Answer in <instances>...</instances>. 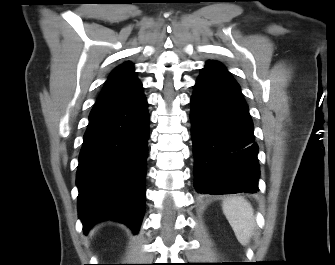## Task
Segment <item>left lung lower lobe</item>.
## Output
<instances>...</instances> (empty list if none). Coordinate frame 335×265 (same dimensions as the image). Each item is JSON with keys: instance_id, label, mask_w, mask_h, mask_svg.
Returning <instances> with one entry per match:
<instances>
[{"instance_id": "1", "label": "left lung lower lobe", "mask_w": 335, "mask_h": 265, "mask_svg": "<svg viewBox=\"0 0 335 265\" xmlns=\"http://www.w3.org/2000/svg\"><path fill=\"white\" fill-rule=\"evenodd\" d=\"M195 188L254 193L260 175L253 123L240 87L222 64L207 63L191 98Z\"/></svg>"}]
</instances>
